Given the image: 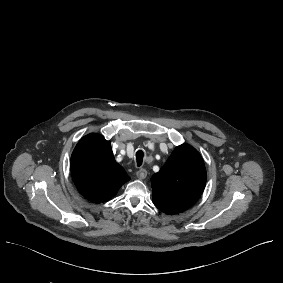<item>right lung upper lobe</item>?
<instances>
[{"label": "right lung upper lobe", "mask_w": 283, "mask_h": 283, "mask_svg": "<svg viewBox=\"0 0 283 283\" xmlns=\"http://www.w3.org/2000/svg\"><path fill=\"white\" fill-rule=\"evenodd\" d=\"M71 173L79 192L94 203L111 199L130 179L115 161L110 141L97 133L84 136L76 145Z\"/></svg>", "instance_id": "obj_1"}]
</instances>
